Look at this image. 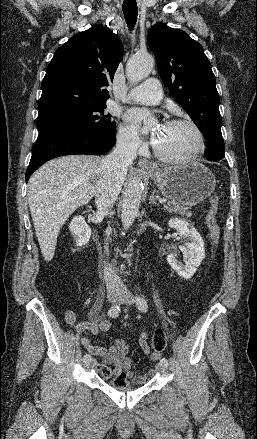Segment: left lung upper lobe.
<instances>
[{
	"label": "left lung upper lobe",
	"mask_w": 257,
	"mask_h": 439,
	"mask_svg": "<svg viewBox=\"0 0 257 439\" xmlns=\"http://www.w3.org/2000/svg\"><path fill=\"white\" fill-rule=\"evenodd\" d=\"M148 45L162 81L203 133L208 146L206 158H224L216 79L203 47L184 31L164 23L149 30Z\"/></svg>",
	"instance_id": "left-lung-upper-lobe-1"
}]
</instances>
